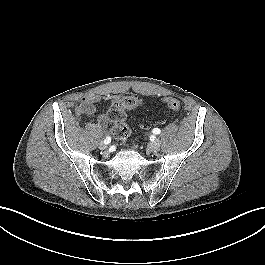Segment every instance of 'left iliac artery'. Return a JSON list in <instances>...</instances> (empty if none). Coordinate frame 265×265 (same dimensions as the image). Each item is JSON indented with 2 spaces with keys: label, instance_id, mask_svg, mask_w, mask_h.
<instances>
[{
  "label": "left iliac artery",
  "instance_id": "1",
  "mask_svg": "<svg viewBox=\"0 0 265 265\" xmlns=\"http://www.w3.org/2000/svg\"><path fill=\"white\" fill-rule=\"evenodd\" d=\"M161 131H160V129H158V128H154L153 129V133L154 134H159Z\"/></svg>",
  "mask_w": 265,
  "mask_h": 265
}]
</instances>
